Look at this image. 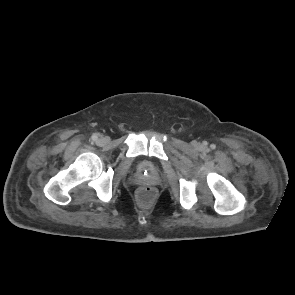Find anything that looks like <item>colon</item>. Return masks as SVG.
Masks as SVG:
<instances>
[{"label":"colon","mask_w":295,"mask_h":295,"mask_svg":"<svg viewBox=\"0 0 295 295\" xmlns=\"http://www.w3.org/2000/svg\"><path fill=\"white\" fill-rule=\"evenodd\" d=\"M156 195V190L151 186H143L138 190L137 196L141 203L149 204L153 201Z\"/></svg>","instance_id":"1"}]
</instances>
